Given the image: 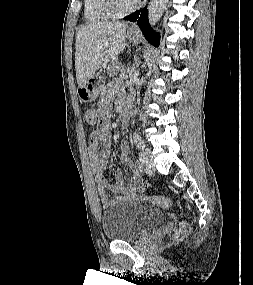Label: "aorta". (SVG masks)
<instances>
[{
	"instance_id": "obj_1",
	"label": "aorta",
	"mask_w": 253,
	"mask_h": 285,
	"mask_svg": "<svg viewBox=\"0 0 253 285\" xmlns=\"http://www.w3.org/2000/svg\"><path fill=\"white\" fill-rule=\"evenodd\" d=\"M169 0H152L148 9V20L152 27L161 19Z\"/></svg>"
}]
</instances>
